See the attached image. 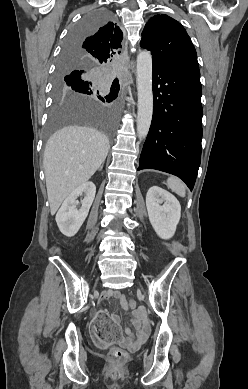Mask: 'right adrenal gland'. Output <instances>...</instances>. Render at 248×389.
Masks as SVG:
<instances>
[{"instance_id": "1", "label": "right adrenal gland", "mask_w": 248, "mask_h": 389, "mask_svg": "<svg viewBox=\"0 0 248 389\" xmlns=\"http://www.w3.org/2000/svg\"><path fill=\"white\" fill-rule=\"evenodd\" d=\"M103 169V164L100 166L99 170L101 171Z\"/></svg>"}]
</instances>
